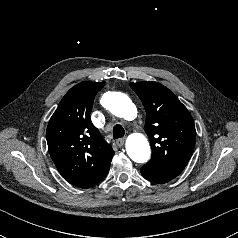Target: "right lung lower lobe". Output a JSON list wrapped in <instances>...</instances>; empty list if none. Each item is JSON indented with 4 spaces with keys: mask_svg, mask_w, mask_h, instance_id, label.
Returning a JSON list of instances; mask_svg holds the SVG:
<instances>
[{
    "mask_svg": "<svg viewBox=\"0 0 238 238\" xmlns=\"http://www.w3.org/2000/svg\"><path fill=\"white\" fill-rule=\"evenodd\" d=\"M108 171H109V170H108ZM108 171L105 172L103 175H101L98 179L94 180L93 182H91V183H89V184H87V185H85V186H83V187H81V188H88V187H91V186H93V185L99 183L101 180H103V179L106 177Z\"/></svg>",
    "mask_w": 238,
    "mask_h": 238,
    "instance_id": "obj_1",
    "label": "right lung lower lobe"
}]
</instances>
